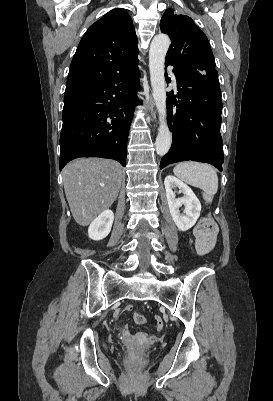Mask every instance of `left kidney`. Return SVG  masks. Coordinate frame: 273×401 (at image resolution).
I'll return each instance as SVG.
<instances>
[{
	"instance_id": "left-kidney-1",
	"label": "left kidney",
	"mask_w": 273,
	"mask_h": 401,
	"mask_svg": "<svg viewBox=\"0 0 273 401\" xmlns=\"http://www.w3.org/2000/svg\"><path fill=\"white\" fill-rule=\"evenodd\" d=\"M164 184L166 188L169 211L175 225H177L180 231H188V229H191V227L195 225L198 217H200V201H198L196 194H194L193 190H191L187 184H184L182 180H179V178H176V176H172V174L165 176ZM174 186H178L181 192H183L184 196L176 198L175 192L172 190ZM182 205L185 207L183 211L185 215H182V213L179 211Z\"/></svg>"
}]
</instances>
